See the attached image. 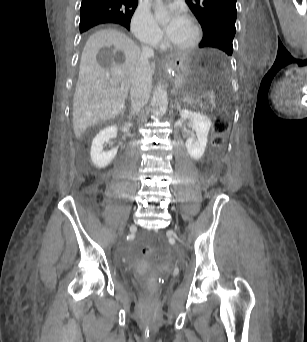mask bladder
<instances>
[{"instance_id": "obj_1", "label": "bladder", "mask_w": 307, "mask_h": 342, "mask_svg": "<svg viewBox=\"0 0 307 342\" xmlns=\"http://www.w3.org/2000/svg\"><path fill=\"white\" fill-rule=\"evenodd\" d=\"M132 278H133L134 282H136V283L138 282L134 277H132Z\"/></svg>"}]
</instances>
